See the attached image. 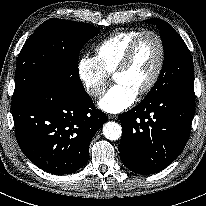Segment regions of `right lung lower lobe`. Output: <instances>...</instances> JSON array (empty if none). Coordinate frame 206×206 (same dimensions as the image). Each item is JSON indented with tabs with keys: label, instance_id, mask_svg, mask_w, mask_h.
<instances>
[{
	"label": "right lung lower lobe",
	"instance_id": "obj_1",
	"mask_svg": "<svg viewBox=\"0 0 206 206\" xmlns=\"http://www.w3.org/2000/svg\"><path fill=\"white\" fill-rule=\"evenodd\" d=\"M16 139L22 152L40 169L71 174L88 160L89 144L107 121L86 93H74L45 82L11 105Z\"/></svg>",
	"mask_w": 206,
	"mask_h": 206
}]
</instances>
